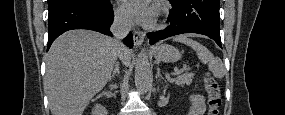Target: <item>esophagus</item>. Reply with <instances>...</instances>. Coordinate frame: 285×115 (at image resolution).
I'll return each mask as SVG.
<instances>
[{
  "label": "esophagus",
  "instance_id": "obj_1",
  "mask_svg": "<svg viewBox=\"0 0 285 115\" xmlns=\"http://www.w3.org/2000/svg\"><path fill=\"white\" fill-rule=\"evenodd\" d=\"M145 39V33L142 31L134 30L133 31V40H134V45L136 47H140Z\"/></svg>",
  "mask_w": 285,
  "mask_h": 115
}]
</instances>
